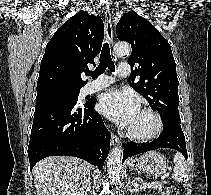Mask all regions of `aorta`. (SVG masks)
<instances>
[{
	"instance_id": "aorta-1",
	"label": "aorta",
	"mask_w": 211,
	"mask_h": 195,
	"mask_svg": "<svg viewBox=\"0 0 211 195\" xmlns=\"http://www.w3.org/2000/svg\"><path fill=\"white\" fill-rule=\"evenodd\" d=\"M114 51L118 56H129L131 53V47L128 43H116ZM123 150L120 147H115L109 154L107 162L108 177L112 183L119 179L122 164Z\"/></svg>"
}]
</instances>
